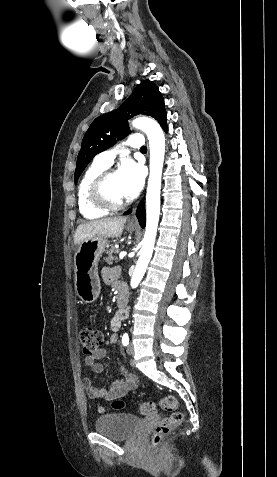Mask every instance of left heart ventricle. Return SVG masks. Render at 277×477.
<instances>
[{
	"label": "left heart ventricle",
	"mask_w": 277,
	"mask_h": 477,
	"mask_svg": "<svg viewBox=\"0 0 277 477\" xmlns=\"http://www.w3.org/2000/svg\"><path fill=\"white\" fill-rule=\"evenodd\" d=\"M107 196L115 202L125 200L117 172L110 176L106 184Z\"/></svg>",
	"instance_id": "b2bd125f"
}]
</instances>
